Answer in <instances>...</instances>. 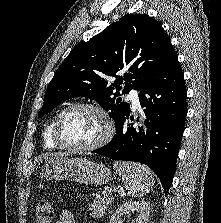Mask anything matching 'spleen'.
<instances>
[{
  "label": "spleen",
  "instance_id": "1",
  "mask_svg": "<svg viewBox=\"0 0 221 223\" xmlns=\"http://www.w3.org/2000/svg\"><path fill=\"white\" fill-rule=\"evenodd\" d=\"M113 167L121 176L122 181L133 197H141L150 192L154 179L149 168L133 162H114Z\"/></svg>",
  "mask_w": 221,
  "mask_h": 223
}]
</instances>
